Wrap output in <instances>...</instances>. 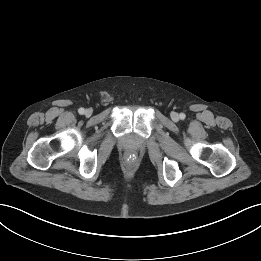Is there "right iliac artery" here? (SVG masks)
Returning a JSON list of instances; mask_svg holds the SVG:
<instances>
[{
    "instance_id": "1",
    "label": "right iliac artery",
    "mask_w": 261,
    "mask_h": 261,
    "mask_svg": "<svg viewBox=\"0 0 261 261\" xmlns=\"http://www.w3.org/2000/svg\"><path fill=\"white\" fill-rule=\"evenodd\" d=\"M78 112H79V114H84L85 110H84V108H80V109L78 110Z\"/></svg>"
}]
</instances>
